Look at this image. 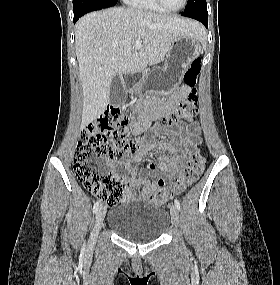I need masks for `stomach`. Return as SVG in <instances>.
Listing matches in <instances>:
<instances>
[{"mask_svg":"<svg viewBox=\"0 0 280 285\" xmlns=\"http://www.w3.org/2000/svg\"><path fill=\"white\" fill-rule=\"evenodd\" d=\"M200 53L201 45L196 37L182 35L173 41L162 69L164 75L162 98L168 97L179 86L184 71ZM154 82V77L145 76L139 82L134 83L131 90L136 92L141 86Z\"/></svg>","mask_w":280,"mask_h":285,"instance_id":"stomach-1","label":"stomach"}]
</instances>
